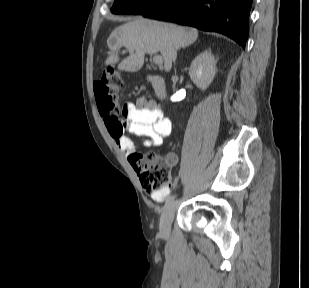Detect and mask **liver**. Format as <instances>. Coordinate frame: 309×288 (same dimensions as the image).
Listing matches in <instances>:
<instances>
[{
    "mask_svg": "<svg viewBox=\"0 0 309 288\" xmlns=\"http://www.w3.org/2000/svg\"><path fill=\"white\" fill-rule=\"evenodd\" d=\"M197 38V29L138 17L112 31L107 40L110 51L105 64L118 63V51L121 47H126L130 54L119 63V70L136 72L144 64L145 54L160 52L164 70L169 72L177 50L193 44Z\"/></svg>",
    "mask_w": 309,
    "mask_h": 288,
    "instance_id": "6515ba94",
    "label": "liver"
}]
</instances>
